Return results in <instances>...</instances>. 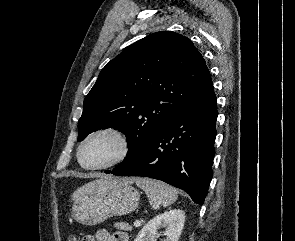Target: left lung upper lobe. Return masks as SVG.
<instances>
[{
	"label": "left lung upper lobe",
	"mask_w": 295,
	"mask_h": 241,
	"mask_svg": "<svg viewBox=\"0 0 295 241\" xmlns=\"http://www.w3.org/2000/svg\"><path fill=\"white\" fill-rule=\"evenodd\" d=\"M212 90L210 72L190 39L172 31L150 34L101 70L84 99L78 141L113 127L127 137L126 163L175 114Z\"/></svg>",
	"instance_id": "5c2ea615"
}]
</instances>
